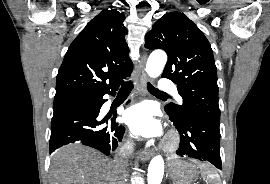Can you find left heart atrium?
I'll list each match as a JSON object with an SVG mask.
<instances>
[{"label": "left heart atrium", "mask_w": 270, "mask_h": 184, "mask_svg": "<svg viewBox=\"0 0 270 184\" xmlns=\"http://www.w3.org/2000/svg\"><path fill=\"white\" fill-rule=\"evenodd\" d=\"M124 121L134 134L143 137L155 138L161 136L163 132L152 108L145 103L127 109L124 113Z\"/></svg>", "instance_id": "obj_1"}]
</instances>
